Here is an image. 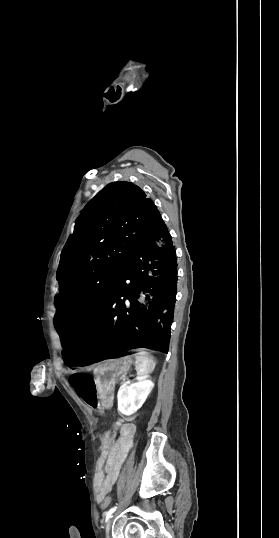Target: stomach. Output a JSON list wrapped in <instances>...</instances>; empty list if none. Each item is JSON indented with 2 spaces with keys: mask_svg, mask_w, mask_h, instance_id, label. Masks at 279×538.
I'll list each match as a JSON object with an SVG mask.
<instances>
[{
  "mask_svg": "<svg viewBox=\"0 0 279 538\" xmlns=\"http://www.w3.org/2000/svg\"><path fill=\"white\" fill-rule=\"evenodd\" d=\"M131 360L126 353H119L117 358H104L102 363H97L95 376L98 380V394L101 398L100 405L107 409L110 407L111 394L114 389L112 382H119L120 374H125L130 368Z\"/></svg>",
  "mask_w": 279,
  "mask_h": 538,
  "instance_id": "stomach-1",
  "label": "stomach"
}]
</instances>
